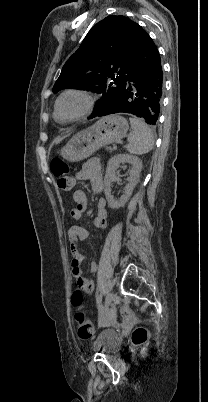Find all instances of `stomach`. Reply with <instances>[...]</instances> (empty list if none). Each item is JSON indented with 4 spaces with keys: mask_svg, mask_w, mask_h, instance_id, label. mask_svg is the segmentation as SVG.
Instances as JSON below:
<instances>
[{
    "mask_svg": "<svg viewBox=\"0 0 208 402\" xmlns=\"http://www.w3.org/2000/svg\"><path fill=\"white\" fill-rule=\"evenodd\" d=\"M128 130V122L122 116H118V114L104 116L91 128L73 136L60 150V156L68 162H81V160L90 158L100 148L125 138Z\"/></svg>",
    "mask_w": 208,
    "mask_h": 402,
    "instance_id": "stomach-1",
    "label": "stomach"
}]
</instances>
